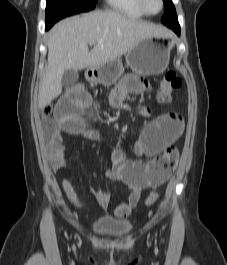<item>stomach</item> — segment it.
<instances>
[{
  "mask_svg": "<svg viewBox=\"0 0 227 265\" xmlns=\"http://www.w3.org/2000/svg\"><path fill=\"white\" fill-rule=\"evenodd\" d=\"M172 46L157 37L145 38L126 53L127 66L138 74L150 76L163 73L169 65ZM124 73L119 60L104 65L89 67L85 73L88 81L113 85Z\"/></svg>",
  "mask_w": 227,
  "mask_h": 265,
  "instance_id": "0dacf381",
  "label": "stomach"
}]
</instances>
